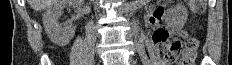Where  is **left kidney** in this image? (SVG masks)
Returning <instances> with one entry per match:
<instances>
[{
	"label": "left kidney",
	"mask_w": 232,
	"mask_h": 65,
	"mask_svg": "<svg viewBox=\"0 0 232 65\" xmlns=\"http://www.w3.org/2000/svg\"><path fill=\"white\" fill-rule=\"evenodd\" d=\"M187 18L188 11L182 4L176 5L167 12L168 22L174 29H182L187 21Z\"/></svg>",
	"instance_id": "5707ae66"
}]
</instances>
